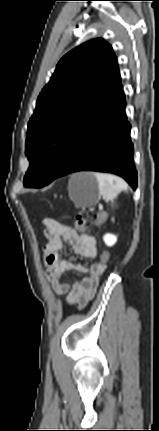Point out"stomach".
I'll list each match as a JSON object with an SVG mask.
<instances>
[{"mask_svg":"<svg viewBox=\"0 0 159 431\" xmlns=\"http://www.w3.org/2000/svg\"><path fill=\"white\" fill-rule=\"evenodd\" d=\"M69 193L72 201L79 207H90L100 199L98 181L93 173L81 172L71 177Z\"/></svg>","mask_w":159,"mask_h":431,"instance_id":"1","label":"stomach"}]
</instances>
